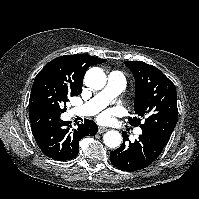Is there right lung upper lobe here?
Wrapping results in <instances>:
<instances>
[{
	"label": "right lung upper lobe",
	"mask_w": 199,
	"mask_h": 199,
	"mask_svg": "<svg viewBox=\"0 0 199 199\" xmlns=\"http://www.w3.org/2000/svg\"><path fill=\"white\" fill-rule=\"evenodd\" d=\"M104 62H106V59L86 54L60 56L45 65L37 74L34 82H55L79 95L82 90L83 77L86 70L92 65Z\"/></svg>",
	"instance_id": "right-lung-upper-lobe-1"
}]
</instances>
